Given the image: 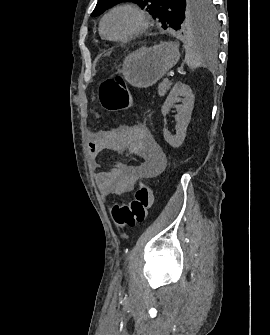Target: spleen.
I'll use <instances>...</instances> for the list:
<instances>
[{
	"label": "spleen",
	"instance_id": "3e777b00",
	"mask_svg": "<svg viewBox=\"0 0 270 335\" xmlns=\"http://www.w3.org/2000/svg\"><path fill=\"white\" fill-rule=\"evenodd\" d=\"M180 40H182L186 50L185 62L189 68H198L204 62L213 60V56H210L208 48H203L202 44L199 46V44H194V42H188L185 36H182Z\"/></svg>",
	"mask_w": 270,
	"mask_h": 335
}]
</instances>
